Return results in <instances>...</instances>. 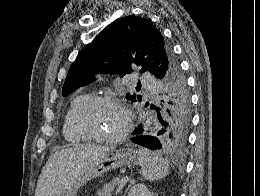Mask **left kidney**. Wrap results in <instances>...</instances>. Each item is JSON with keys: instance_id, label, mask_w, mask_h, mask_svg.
<instances>
[{"instance_id": "obj_1", "label": "left kidney", "mask_w": 260, "mask_h": 196, "mask_svg": "<svg viewBox=\"0 0 260 196\" xmlns=\"http://www.w3.org/2000/svg\"><path fill=\"white\" fill-rule=\"evenodd\" d=\"M128 196H152V192H149L145 184H136L132 186Z\"/></svg>"}]
</instances>
